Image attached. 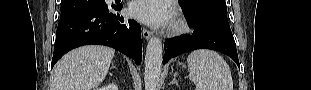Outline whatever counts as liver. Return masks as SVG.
Wrapping results in <instances>:
<instances>
[{
    "mask_svg": "<svg viewBox=\"0 0 311 90\" xmlns=\"http://www.w3.org/2000/svg\"><path fill=\"white\" fill-rule=\"evenodd\" d=\"M115 50L89 45L72 50L56 64L52 90H92L105 79Z\"/></svg>",
    "mask_w": 311,
    "mask_h": 90,
    "instance_id": "1",
    "label": "liver"
}]
</instances>
